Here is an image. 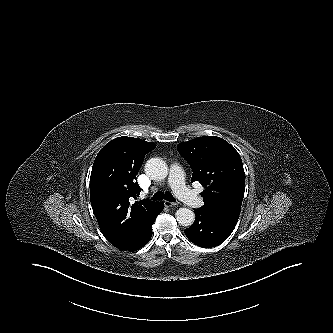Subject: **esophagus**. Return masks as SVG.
I'll return each instance as SVG.
<instances>
[{
    "mask_svg": "<svg viewBox=\"0 0 333 333\" xmlns=\"http://www.w3.org/2000/svg\"><path fill=\"white\" fill-rule=\"evenodd\" d=\"M164 205H165L166 207H174V206H178L177 203H175V202H170V201H164Z\"/></svg>",
    "mask_w": 333,
    "mask_h": 333,
    "instance_id": "obj_1",
    "label": "esophagus"
}]
</instances>
